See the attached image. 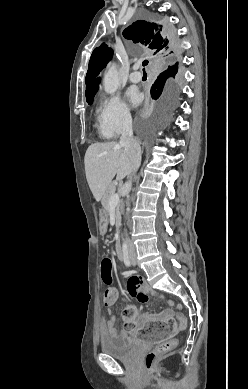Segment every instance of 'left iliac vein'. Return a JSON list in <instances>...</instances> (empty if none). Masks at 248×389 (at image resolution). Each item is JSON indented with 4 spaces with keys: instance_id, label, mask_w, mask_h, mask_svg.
Masks as SVG:
<instances>
[{
    "instance_id": "left-iliac-vein-1",
    "label": "left iliac vein",
    "mask_w": 248,
    "mask_h": 389,
    "mask_svg": "<svg viewBox=\"0 0 248 389\" xmlns=\"http://www.w3.org/2000/svg\"><path fill=\"white\" fill-rule=\"evenodd\" d=\"M131 263H132L133 266H135L137 264L135 256H131Z\"/></svg>"
}]
</instances>
